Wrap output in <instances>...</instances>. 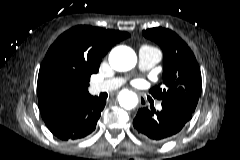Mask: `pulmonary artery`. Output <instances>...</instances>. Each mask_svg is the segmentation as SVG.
Returning <instances> with one entry per match:
<instances>
[{"instance_id": "pulmonary-artery-1", "label": "pulmonary artery", "mask_w": 240, "mask_h": 160, "mask_svg": "<svg viewBox=\"0 0 240 160\" xmlns=\"http://www.w3.org/2000/svg\"><path fill=\"white\" fill-rule=\"evenodd\" d=\"M161 60V53L150 46H142L138 52V67L141 71H147L154 67ZM126 81L124 77H114L92 85L94 93L111 91L122 86ZM161 105L157 106L161 110Z\"/></svg>"}]
</instances>
